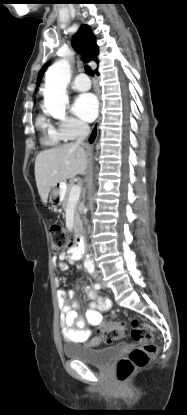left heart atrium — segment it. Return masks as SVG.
Returning <instances> with one entry per match:
<instances>
[{"label": "left heart atrium", "mask_w": 187, "mask_h": 415, "mask_svg": "<svg viewBox=\"0 0 187 415\" xmlns=\"http://www.w3.org/2000/svg\"><path fill=\"white\" fill-rule=\"evenodd\" d=\"M73 112L86 122L93 121L98 113V101L94 94L85 93L78 96L72 107Z\"/></svg>", "instance_id": "39dd6f15"}]
</instances>
